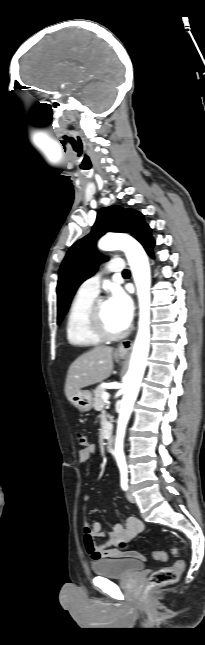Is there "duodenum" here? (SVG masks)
I'll list each match as a JSON object with an SVG mask.
<instances>
[{
	"label": "duodenum",
	"instance_id": "duodenum-1",
	"mask_svg": "<svg viewBox=\"0 0 205 645\" xmlns=\"http://www.w3.org/2000/svg\"><path fill=\"white\" fill-rule=\"evenodd\" d=\"M105 448L107 452H112L114 448V438L112 435H108L105 441Z\"/></svg>",
	"mask_w": 205,
	"mask_h": 645
}]
</instances>
